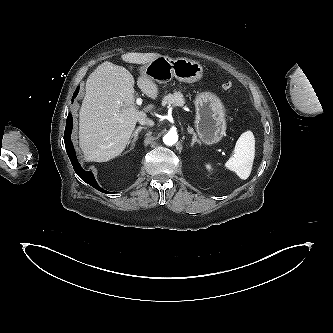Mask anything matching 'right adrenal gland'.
I'll return each mask as SVG.
<instances>
[{"label": "right adrenal gland", "instance_id": "2a0ac1e0", "mask_svg": "<svg viewBox=\"0 0 333 333\" xmlns=\"http://www.w3.org/2000/svg\"><path fill=\"white\" fill-rule=\"evenodd\" d=\"M145 129V127L139 126L135 129L134 133L131 135L130 140L128 142V145H130V150L135 146L136 141L138 140V134L139 132Z\"/></svg>", "mask_w": 333, "mask_h": 333}]
</instances>
